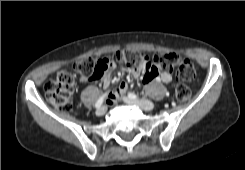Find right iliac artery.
<instances>
[{
    "mask_svg": "<svg viewBox=\"0 0 245 170\" xmlns=\"http://www.w3.org/2000/svg\"><path fill=\"white\" fill-rule=\"evenodd\" d=\"M108 95V93L106 92L102 97H100L98 100H97V102H96V104H95V107L96 108H99L101 105H102V103H103V101H104V99H105V97Z\"/></svg>",
    "mask_w": 245,
    "mask_h": 170,
    "instance_id": "1",
    "label": "right iliac artery"
}]
</instances>
